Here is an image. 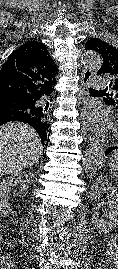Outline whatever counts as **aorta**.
<instances>
[{
  "label": "aorta",
  "mask_w": 118,
  "mask_h": 269,
  "mask_svg": "<svg viewBox=\"0 0 118 269\" xmlns=\"http://www.w3.org/2000/svg\"><path fill=\"white\" fill-rule=\"evenodd\" d=\"M82 63L84 66L91 69H98L101 67L103 61L100 55L95 52H86L82 56ZM105 159V148L99 142L93 143L85 153L82 167L85 172H96L102 166Z\"/></svg>",
  "instance_id": "aorta-1"
}]
</instances>
